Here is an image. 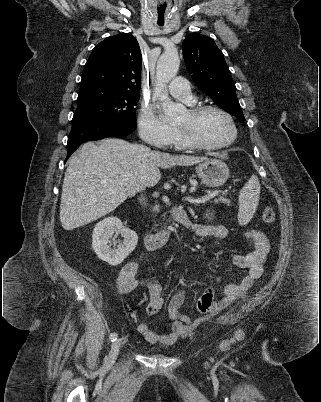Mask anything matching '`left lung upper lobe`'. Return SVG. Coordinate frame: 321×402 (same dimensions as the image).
<instances>
[{
  "mask_svg": "<svg viewBox=\"0 0 321 402\" xmlns=\"http://www.w3.org/2000/svg\"><path fill=\"white\" fill-rule=\"evenodd\" d=\"M182 46L186 68L197 86L221 109L245 121L231 73L214 40L192 33L186 36Z\"/></svg>",
  "mask_w": 321,
  "mask_h": 402,
  "instance_id": "5c2ea615",
  "label": "left lung upper lobe"
}]
</instances>
